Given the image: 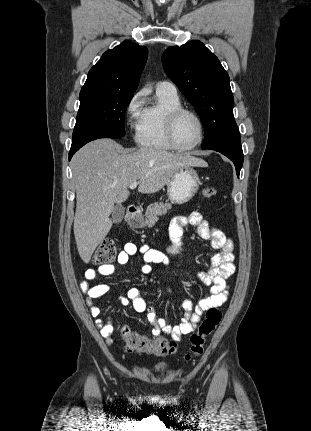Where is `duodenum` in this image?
Wrapping results in <instances>:
<instances>
[{
	"label": "duodenum",
	"mask_w": 311,
	"mask_h": 431,
	"mask_svg": "<svg viewBox=\"0 0 311 431\" xmlns=\"http://www.w3.org/2000/svg\"><path fill=\"white\" fill-rule=\"evenodd\" d=\"M140 214V209L137 206H129L126 211L127 222L135 221Z\"/></svg>",
	"instance_id": "duodenum-1"
}]
</instances>
